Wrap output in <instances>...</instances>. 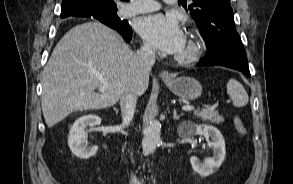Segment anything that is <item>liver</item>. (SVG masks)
Wrapping results in <instances>:
<instances>
[{"label":"liver","mask_w":293,"mask_h":184,"mask_svg":"<svg viewBox=\"0 0 293 184\" xmlns=\"http://www.w3.org/2000/svg\"><path fill=\"white\" fill-rule=\"evenodd\" d=\"M135 63L136 54L106 25L87 22L70 29L54 48L42 75L41 106L47 126L75 111L113 106L129 86L143 94L149 74L141 76ZM98 75L109 88L100 90L103 84Z\"/></svg>","instance_id":"obj_1"}]
</instances>
